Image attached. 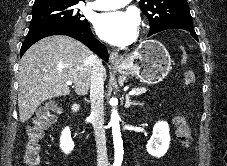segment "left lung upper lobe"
<instances>
[{"instance_id": "left-lung-upper-lobe-1", "label": "left lung upper lobe", "mask_w": 227, "mask_h": 166, "mask_svg": "<svg viewBox=\"0 0 227 166\" xmlns=\"http://www.w3.org/2000/svg\"><path fill=\"white\" fill-rule=\"evenodd\" d=\"M139 5L150 23L148 36L168 29L193 26L187 0H141Z\"/></svg>"}]
</instances>
